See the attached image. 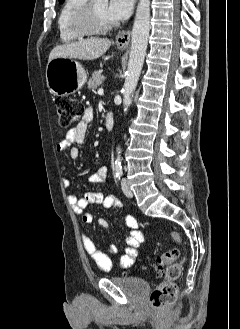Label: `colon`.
Returning a JSON list of instances; mask_svg holds the SVG:
<instances>
[{"label": "colon", "instance_id": "5ec220e1", "mask_svg": "<svg viewBox=\"0 0 240 329\" xmlns=\"http://www.w3.org/2000/svg\"><path fill=\"white\" fill-rule=\"evenodd\" d=\"M56 106L58 122L63 127L73 125L84 112L81 103L70 97L58 98ZM171 236L177 244H182L179 233L174 231ZM179 254V250L171 249L154 258V263L162 276L161 282L149 296V303L155 309L164 310L172 306L176 301L178 291L177 280L185 262V258H182L179 262L173 263Z\"/></svg>", "mask_w": 240, "mask_h": 329}]
</instances>
